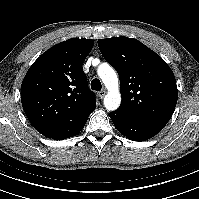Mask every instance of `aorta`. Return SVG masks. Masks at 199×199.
<instances>
[{"label": "aorta", "mask_w": 199, "mask_h": 199, "mask_svg": "<svg viewBox=\"0 0 199 199\" xmlns=\"http://www.w3.org/2000/svg\"><path fill=\"white\" fill-rule=\"evenodd\" d=\"M97 72L98 76L108 90L104 98V106L107 110L114 111L120 106L121 103L117 74L107 63L101 64Z\"/></svg>", "instance_id": "762f6f07"}]
</instances>
